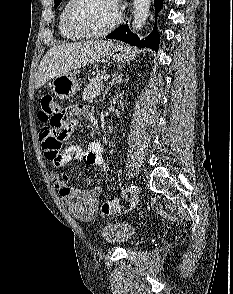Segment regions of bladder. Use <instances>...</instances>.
Returning <instances> with one entry per match:
<instances>
[{"label":"bladder","instance_id":"31cf9c89","mask_svg":"<svg viewBox=\"0 0 233 294\" xmlns=\"http://www.w3.org/2000/svg\"><path fill=\"white\" fill-rule=\"evenodd\" d=\"M101 236L106 243L127 246L135 240L136 232L128 223L115 220L102 228Z\"/></svg>","mask_w":233,"mask_h":294}]
</instances>
